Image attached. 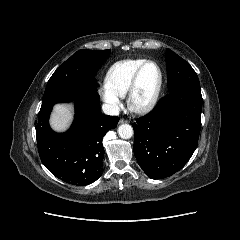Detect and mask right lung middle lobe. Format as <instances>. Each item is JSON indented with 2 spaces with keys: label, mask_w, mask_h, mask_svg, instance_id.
Wrapping results in <instances>:
<instances>
[{
  "label": "right lung middle lobe",
  "mask_w": 240,
  "mask_h": 240,
  "mask_svg": "<svg viewBox=\"0 0 240 240\" xmlns=\"http://www.w3.org/2000/svg\"><path fill=\"white\" fill-rule=\"evenodd\" d=\"M110 55V50H79L66 60L49 79L42 102L56 96L96 94L94 78Z\"/></svg>",
  "instance_id": "dd1d6c3e"
}]
</instances>
